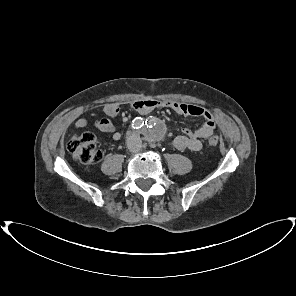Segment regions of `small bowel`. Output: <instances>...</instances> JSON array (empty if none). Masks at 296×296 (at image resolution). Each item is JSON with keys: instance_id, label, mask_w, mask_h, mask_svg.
I'll list each match as a JSON object with an SVG mask.
<instances>
[{"instance_id": "1", "label": "small bowel", "mask_w": 296, "mask_h": 296, "mask_svg": "<svg viewBox=\"0 0 296 296\" xmlns=\"http://www.w3.org/2000/svg\"><path fill=\"white\" fill-rule=\"evenodd\" d=\"M133 109L141 115H146L155 109L168 108L180 115L185 116H201L204 118V123L196 130L185 128L183 134L174 137L170 146L177 150L199 151L202 148V140L213 134L215 130V121L212 113L202 107L180 103L176 101H160V100H139L132 104ZM103 113L109 117L114 118L119 115L120 108L116 103H108L103 108ZM86 121L80 119L77 121V127L86 126ZM95 126L98 130L106 133L116 134V127L107 118H102L95 121Z\"/></svg>"}]
</instances>
